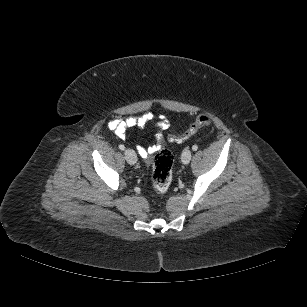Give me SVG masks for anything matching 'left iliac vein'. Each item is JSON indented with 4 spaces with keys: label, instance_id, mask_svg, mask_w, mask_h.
I'll return each instance as SVG.
<instances>
[{
    "label": "left iliac vein",
    "instance_id": "1",
    "mask_svg": "<svg viewBox=\"0 0 307 307\" xmlns=\"http://www.w3.org/2000/svg\"><path fill=\"white\" fill-rule=\"evenodd\" d=\"M192 152L189 149H185L181 155V161L183 164H188L191 160Z\"/></svg>",
    "mask_w": 307,
    "mask_h": 307
}]
</instances>
